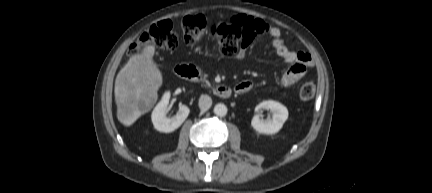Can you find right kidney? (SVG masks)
I'll use <instances>...</instances> for the list:
<instances>
[{"instance_id": "ca27d5eb", "label": "right kidney", "mask_w": 432, "mask_h": 193, "mask_svg": "<svg viewBox=\"0 0 432 193\" xmlns=\"http://www.w3.org/2000/svg\"><path fill=\"white\" fill-rule=\"evenodd\" d=\"M170 93L166 92L162 100L157 104L152 112V122L157 131L169 133L179 128L186 120L190 109L185 105H180L177 114L173 117L166 116V110L169 104Z\"/></svg>"}]
</instances>
